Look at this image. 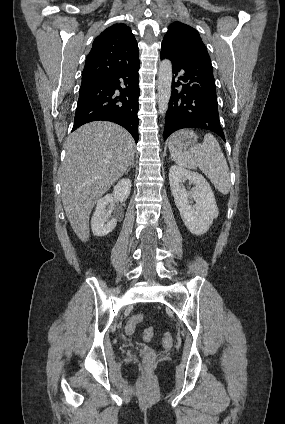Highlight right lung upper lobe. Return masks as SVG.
I'll return each mask as SVG.
<instances>
[{"instance_id": "cb5924a9", "label": "right lung upper lobe", "mask_w": 285, "mask_h": 424, "mask_svg": "<svg viewBox=\"0 0 285 424\" xmlns=\"http://www.w3.org/2000/svg\"><path fill=\"white\" fill-rule=\"evenodd\" d=\"M137 41L125 24L105 29L93 42L82 73V81L121 71L139 63Z\"/></svg>"}]
</instances>
